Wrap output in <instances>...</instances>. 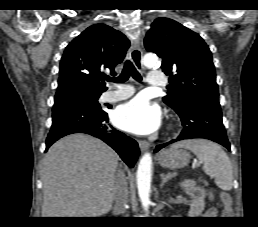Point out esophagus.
Returning a JSON list of instances; mask_svg holds the SVG:
<instances>
[{
    "label": "esophagus",
    "mask_w": 258,
    "mask_h": 227,
    "mask_svg": "<svg viewBox=\"0 0 258 227\" xmlns=\"http://www.w3.org/2000/svg\"><path fill=\"white\" fill-rule=\"evenodd\" d=\"M135 52H137V53H135ZM130 56H131L133 63L135 64V66L139 70H143L144 68L142 65V50H141L139 42H134L132 44ZM139 147H140V150L143 152V151H146L147 149H149L150 144L147 141L141 140V141H139Z\"/></svg>",
    "instance_id": "34e87169"
}]
</instances>
